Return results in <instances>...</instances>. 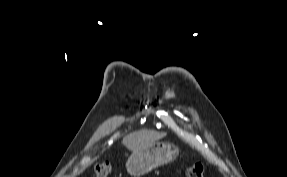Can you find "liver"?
I'll return each mask as SVG.
<instances>
[{
  "label": "liver",
  "mask_w": 287,
  "mask_h": 177,
  "mask_svg": "<svg viewBox=\"0 0 287 177\" xmlns=\"http://www.w3.org/2000/svg\"><path fill=\"white\" fill-rule=\"evenodd\" d=\"M166 136V133H159L150 130L133 132L123 138V144L131 151L139 150L155 143Z\"/></svg>",
  "instance_id": "6515ba94"
}]
</instances>
